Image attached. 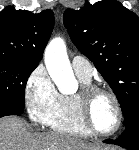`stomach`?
Listing matches in <instances>:
<instances>
[{
  "instance_id": "1",
  "label": "stomach",
  "mask_w": 139,
  "mask_h": 150,
  "mask_svg": "<svg viewBox=\"0 0 139 150\" xmlns=\"http://www.w3.org/2000/svg\"><path fill=\"white\" fill-rule=\"evenodd\" d=\"M98 150H109V149H106V148H99Z\"/></svg>"
}]
</instances>
